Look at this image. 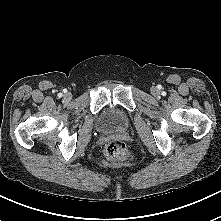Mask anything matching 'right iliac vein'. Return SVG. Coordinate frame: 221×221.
Returning a JSON list of instances; mask_svg holds the SVG:
<instances>
[{"mask_svg":"<svg viewBox=\"0 0 221 221\" xmlns=\"http://www.w3.org/2000/svg\"><path fill=\"white\" fill-rule=\"evenodd\" d=\"M65 98L70 99L71 98V94L70 93H66L65 94Z\"/></svg>","mask_w":221,"mask_h":221,"instance_id":"1","label":"right iliac vein"}]
</instances>
